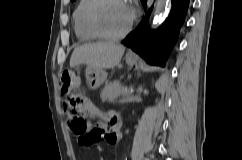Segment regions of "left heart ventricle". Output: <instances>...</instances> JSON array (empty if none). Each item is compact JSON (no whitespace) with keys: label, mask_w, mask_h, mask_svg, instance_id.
Masks as SVG:
<instances>
[{"label":"left heart ventricle","mask_w":242,"mask_h":160,"mask_svg":"<svg viewBox=\"0 0 242 160\" xmlns=\"http://www.w3.org/2000/svg\"><path fill=\"white\" fill-rule=\"evenodd\" d=\"M96 17L104 32L116 35L128 26L132 17V8L125 0H105L99 7Z\"/></svg>","instance_id":"1"}]
</instances>
